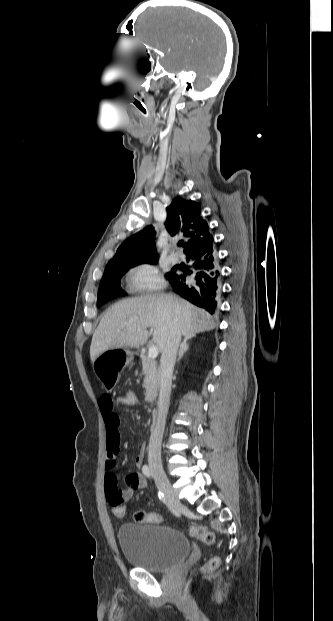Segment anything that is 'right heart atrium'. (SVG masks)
Segmentation results:
<instances>
[{
	"label": "right heart atrium",
	"instance_id": "1",
	"mask_svg": "<svg viewBox=\"0 0 333 621\" xmlns=\"http://www.w3.org/2000/svg\"><path fill=\"white\" fill-rule=\"evenodd\" d=\"M128 288L136 293L156 292L163 288L164 281L158 269L149 263L134 267L128 275Z\"/></svg>",
	"mask_w": 333,
	"mask_h": 621
}]
</instances>
